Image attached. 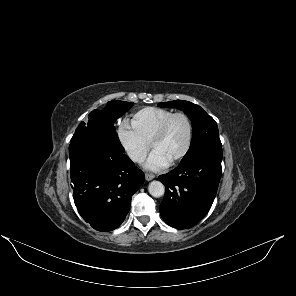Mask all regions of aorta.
Listing matches in <instances>:
<instances>
[{
    "instance_id": "obj_1",
    "label": "aorta",
    "mask_w": 296,
    "mask_h": 296,
    "mask_svg": "<svg viewBox=\"0 0 296 296\" xmlns=\"http://www.w3.org/2000/svg\"><path fill=\"white\" fill-rule=\"evenodd\" d=\"M148 191L153 197H161L165 192V187L160 181H152L149 183Z\"/></svg>"
}]
</instances>
